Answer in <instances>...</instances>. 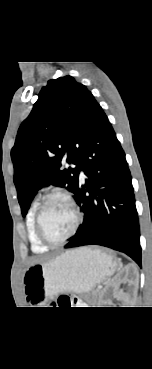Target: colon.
<instances>
[{
	"label": "colon",
	"mask_w": 152,
	"mask_h": 369,
	"mask_svg": "<svg viewBox=\"0 0 152 369\" xmlns=\"http://www.w3.org/2000/svg\"><path fill=\"white\" fill-rule=\"evenodd\" d=\"M72 304H74V302L69 295H60L57 301L52 303V305L58 307H70Z\"/></svg>",
	"instance_id": "5ec220e1"
}]
</instances>
